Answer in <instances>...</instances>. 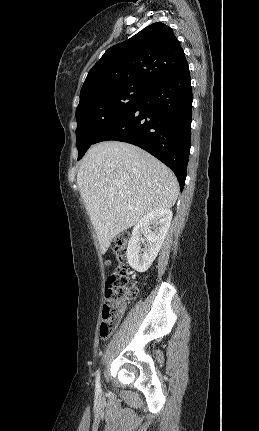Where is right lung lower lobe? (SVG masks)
Instances as JSON below:
<instances>
[{
  "label": "right lung lower lobe",
  "mask_w": 259,
  "mask_h": 431,
  "mask_svg": "<svg viewBox=\"0 0 259 431\" xmlns=\"http://www.w3.org/2000/svg\"><path fill=\"white\" fill-rule=\"evenodd\" d=\"M192 100L187 67L147 89L96 143L116 140L146 150L173 170L183 190L191 146Z\"/></svg>",
  "instance_id": "1"
}]
</instances>
